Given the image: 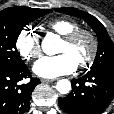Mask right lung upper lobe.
Masks as SVG:
<instances>
[{
  "instance_id": "obj_1",
  "label": "right lung upper lobe",
  "mask_w": 114,
  "mask_h": 114,
  "mask_svg": "<svg viewBox=\"0 0 114 114\" xmlns=\"http://www.w3.org/2000/svg\"><path fill=\"white\" fill-rule=\"evenodd\" d=\"M33 8L29 7H23V6H16V7H10L2 10L1 12L3 13H12V14H17V13H23L31 10Z\"/></svg>"
}]
</instances>
